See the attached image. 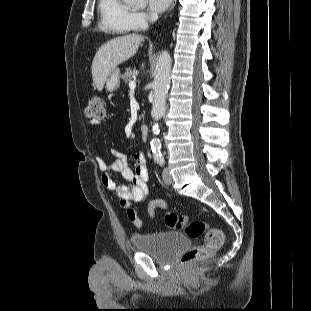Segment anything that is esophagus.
Masks as SVG:
<instances>
[{
	"mask_svg": "<svg viewBox=\"0 0 311 311\" xmlns=\"http://www.w3.org/2000/svg\"><path fill=\"white\" fill-rule=\"evenodd\" d=\"M176 1L177 0H172V3H171L170 8H169V11H171L174 8V6L176 5Z\"/></svg>",
	"mask_w": 311,
	"mask_h": 311,
	"instance_id": "obj_1",
	"label": "esophagus"
}]
</instances>
